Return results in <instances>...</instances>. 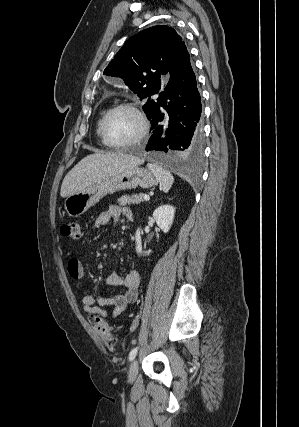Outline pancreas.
Listing matches in <instances>:
<instances>
[{"instance_id": "1", "label": "pancreas", "mask_w": 299, "mask_h": 427, "mask_svg": "<svg viewBox=\"0 0 299 427\" xmlns=\"http://www.w3.org/2000/svg\"><path fill=\"white\" fill-rule=\"evenodd\" d=\"M144 194H132V195H123L118 199V203L120 206L125 205H133V204H139L143 201Z\"/></svg>"}]
</instances>
